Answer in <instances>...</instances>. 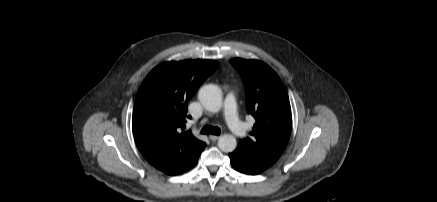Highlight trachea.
<instances>
[{"label": "trachea", "mask_w": 437, "mask_h": 202, "mask_svg": "<svg viewBox=\"0 0 437 202\" xmlns=\"http://www.w3.org/2000/svg\"><path fill=\"white\" fill-rule=\"evenodd\" d=\"M201 133L202 134H213V135H220L221 130L218 127H214L212 125H205L202 129H201Z\"/></svg>", "instance_id": "1"}]
</instances>
